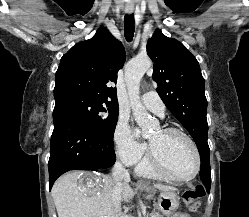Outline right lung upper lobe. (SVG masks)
I'll list each match as a JSON object with an SVG mask.
<instances>
[{
    "label": "right lung upper lobe",
    "mask_w": 249,
    "mask_h": 217,
    "mask_svg": "<svg viewBox=\"0 0 249 217\" xmlns=\"http://www.w3.org/2000/svg\"><path fill=\"white\" fill-rule=\"evenodd\" d=\"M124 62L123 45L102 27L91 39L77 43L63 55L56 72L54 96L77 92L117 103L116 88L107 84H116Z\"/></svg>",
    "instance_id": "1"
}]
</instances>
